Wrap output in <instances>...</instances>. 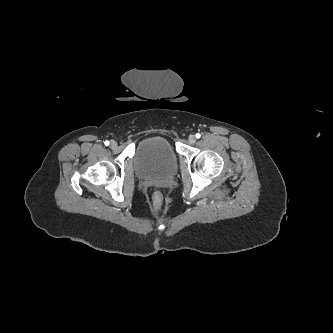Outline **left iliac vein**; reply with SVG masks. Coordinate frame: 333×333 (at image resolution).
Returning <instances> with one entry per match:
<instances>
[{"instance_id":"4c4485c4","label":"left iliac vein","mask_w":333,"mask_h":333,"mask_svg":"<svg viewBox=\"0 0 333 333\" xmlns=\"http://www.w3.org/2000/svg\"><path fill=\"white\" fill-rule=\"evenodd\" d=\"M188 139H189V142L192 143V144L196 142L195 135H190Z\"/></svg>"}]
</instances>
